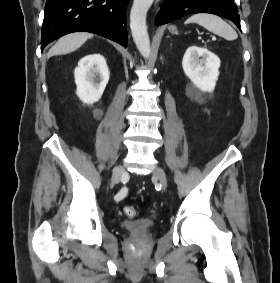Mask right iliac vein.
I'll return each instance as SVG.
<instances>
[{
  "label": "right iliac vein",
  "mask_w": 280,
  "mask_h": 283,
  "mask_svg": "<svg viewBox=\"0 0 280 283\" xmlns=\"http://www.w3.org/2000/svg\"><path fill=\"white\" fill-rule=\"evenodd\" d=\"M124 172H125V170L122 166H117L114 169L112 179H111V184H110L111 187L119 182V180H120L121 176L124 174Z\"/></svg>",
  "instance_id": "1"
}]
</instances>
